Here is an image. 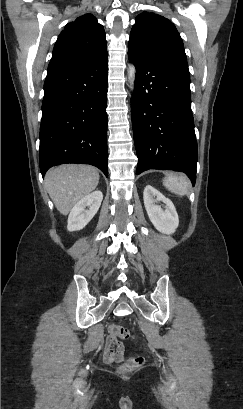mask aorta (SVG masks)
<instances>
[{"label": "aorta", "mask_w": 243, "mask_h": 409, "mask_svg": "<svg viewBox=\"0 0 243 409\" xmlns=\"http://www.w3.org/2000/svg\"><path fill=\"white\" fill-rule=\"evenodd\" d=\"M135 74H136V68H135V66L133 64H130L129 68H128V80H129V84H130L131 89L134 87Z\"/></svg>", "instance_id": "1"}]
</instances>
